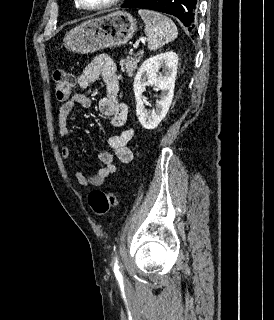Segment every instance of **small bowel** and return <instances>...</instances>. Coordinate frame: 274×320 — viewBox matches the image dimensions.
<instances>
[{
	"label": "small bowel",
	"mask_w": 274,
	"mask_h": 320,
	"mask_svg": "<svg viewBox=\"0 0 274 320\" xmlns=\"http://www.w3.org/2000/svg\"><path fill=\"white\" fill-rule=\"evenodd\" d=\"M102 80L106 94L99 101V111L110 117V126L118 129L123 128L128 122V107L119 101L118 95L120 91V82L111 58L106 54H100L78 75L77 83L80 88H88ZM81 104L85 108H91V100L81 94H74L69 100L63 103L58 110L57 124L61 137H67L70 133L68 127L69 115L75 106ZM133 138V130L131 128L123 129L116 135L107 138V145L112 152H103L99 155V160L103 167L92 176H86L81 170L74 168V176L76 181L82 187L100 186L109 179L115 172L116 166L114 161L121 163H129L133 159V153L128 147V143ZM61 157L68 161L70 157V148L63 145L60 150Z\"/></svg>",
	"instance_id": "obj_1"
}]
</instances>
